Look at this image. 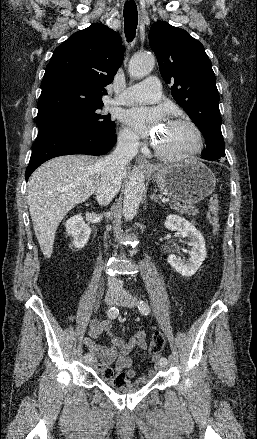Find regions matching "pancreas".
I'll list each match as a JSON object with an SVG mask.
<instances>
[{"label": "pancreas", "instance_id": "1", "mask_svg": "<svg viewBox=\"0 0 257 439\" xmlns=\"http://www.w3.org/2000/svg\"><path fill=\"white\" fill-rule=\"evenodd\" d=\"M171 208L179 211L181 214H186L188 216L195 215L198 213V210L194 208L192 205L181 204L176 201H172L170 203Z\"/></svg>", "mask_w": 257, "mask_h": 439}]
</instances>
